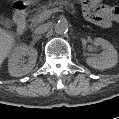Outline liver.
I'll return each mask as SVG.
<instances>
[{
  "mask_svg": "<svg viewBox=\"0 0 119 119\" xmlns=\"http://www.w3.org/2000/svg\"><path fill=\"white\" fill-rule=\"evenodd\" d=\"M15 37L13 34L6 32L0 28V68L3 61L11 53L15 45Z\"/></svg>",
  "mask_w": 119,
  "mask_h": 119,
  "instance_id": "obj_1",
  "label": "liver"
}]
</instances>
